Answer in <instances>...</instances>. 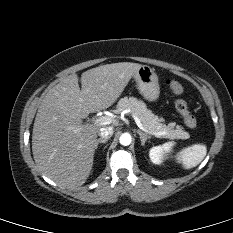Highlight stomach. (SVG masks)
<instances>
[{"label": "stomach", "mask_w": 233, "mask_h": 233, "mask_svg": "<svg viewBox=\"0 0 233 233\" xmlns=\"http://www.w3.org/2000/svg\"><path fill=\"white\" fill-rule=\"evenodd\" d=\"M139 93L144 99L153 102L159 98L160 86L158 76L152 68L143 65L134 75Z\"/></svg>", "instance_id": "1"}]
</instances>
